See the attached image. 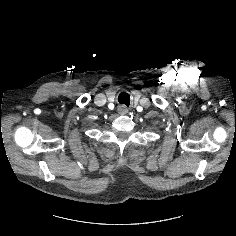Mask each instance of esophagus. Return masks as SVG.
Wrapping results in <instances>:
<instances>
[{"mask_svg": "<svg viewBox=\"0 0 236 236\" xmlns=\"http://www.w3.org/2000/svg\"><path fill=\"white\" fill-rule=\"evenodd\" d=\"M118 112L120 113V114H126V113H128V108L126 107V106H119V108H118Z\"/></svg>", "mask_w": 236, "mask_h": 236, "instance_id": "esophagus-1", "label": "esophagus"}]
</instances>
